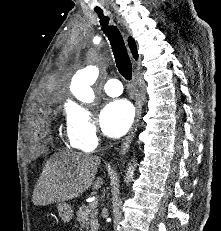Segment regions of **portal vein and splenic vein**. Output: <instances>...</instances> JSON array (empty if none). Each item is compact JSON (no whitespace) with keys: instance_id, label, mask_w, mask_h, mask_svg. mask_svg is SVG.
Returning a JSON list of instances; mask_svg holds the SVG:
<instances>
[{"instance_id":"1","label":"portal vein and splenic vein","mask_w":221,"mask_h":231,"mask_svg":"<svg viewBox=\"0 0 221 231\" xmlns=\"http://www.w3.org/2000/svg\"><path fill=\"white\" fill-rule=\"evenodd\" d=\"M97 201H93L89 204L90 207H97Z\"/></svg>"}]
</instances>
